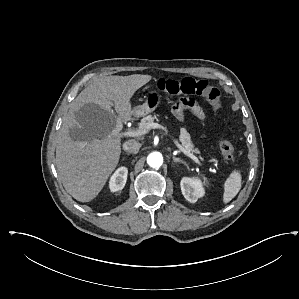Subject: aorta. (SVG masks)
<instances>
[{
	"label": "aorta",
	"mask_w": 299,
	"mask_h": 299,
	"mask_svg": "<svg viewBox=\"0 0 299 299\" xmlns=\"http://www.w3.org/2000/svg\"><path fill=\"white\" fill-rule=\"evenodd\" d=\"M147 163L150 167L159 168L163 163V156L160 152H152L147 157Z\"/></svg>",
	"instance_id": "aorta-1"
}]
</instances>
